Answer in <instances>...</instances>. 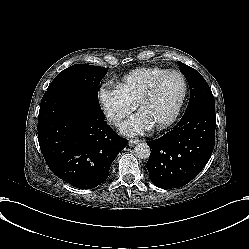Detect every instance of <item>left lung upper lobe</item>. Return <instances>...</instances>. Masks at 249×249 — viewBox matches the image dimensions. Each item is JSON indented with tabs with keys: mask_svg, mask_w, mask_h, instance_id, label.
<instances>
[{
	"mask_svg": "<svg viewBox=\"0 0 249 249\" xmlns=\"http://www.w3.org/2000/svg\"><path fill=\"white\" fill-rule=\"evenodd\" d=\"M180 71L186 77L190 87V100L184 114L203 106H215L214 96L205 79L195 69L179 62Z\"/></svg>",
	"mask_w": 249,
	"mask_h": 249,
	"instance_id": "left-lung-upper-lobe-1",
	"label": "left lung upper lobe"
}]
</instances>
